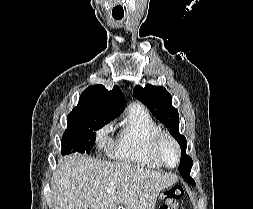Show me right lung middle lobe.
Instances as JSON below:
<instances>
[{
	"mask_svg": "<svg viewBox=\"0 0 253 209\" xmlns=\"http://www.w3.org/2000/svg\"><path fill=\"white\" fill-rule=\"evenodd\" d=\"M112 120L99 115H88L67 121L68 126L61 141L62 155L74 152L89 153L95 143V131Z\"/></svg>",
	"mask_w": 253,
	"mask_h": 209,
	"instance_id": "dd1d6c3e",
	"label": "right lung middle lobe"
}]
</instances>
